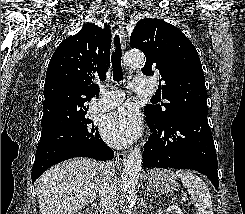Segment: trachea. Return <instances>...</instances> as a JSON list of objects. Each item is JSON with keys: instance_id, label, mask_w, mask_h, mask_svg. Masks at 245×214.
Masks as SVG:
<instances>
[{"instance_id": "3493384b", "label": "trachea", "mask_w": 245, "mask_h": 214, "mask_svg": "<svg viewBox=\"0 0 245 214\" xmlns=\"http://www.w3.org/2000/svg\"><path fill=\"white\" fill-rule=\"evenodd\" d=\"M121 46L119 35L114 37V51L111 56L112 68H113V79L115 82L123 80V69L121 66Z\"/></svg>"}]
</instances>
